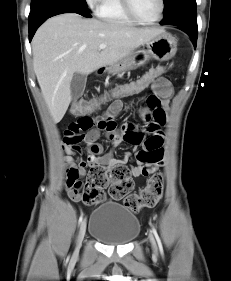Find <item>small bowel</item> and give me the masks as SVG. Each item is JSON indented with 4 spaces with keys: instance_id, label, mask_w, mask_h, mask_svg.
Returning <instances> with one entry per match:
<instances>
[{
    "instance_id": "obj_1",
    "label": "small bowel",
    "mask_w": 231,
    "mask_h": 281,
    "mask_svg": "<svg viewBox=\"0 0 231 281\" xmlns=\"http://www.w3.org/2000/svg\"><path fill=\"white\" fill-rule=\"evenodd\" d=\"M153 93L148 96V108L143 111V131L149 134L144 138L142 132L133 125L126 124L120 130L117 129L115 117L122 110L119 100L113 101L102 116L92 117L87 114L71 122L64 132L63 147L66 155L65 162V187L68 196L74 201H80L73 193V186L81 177L86 175L88 168L101 166L113 168L125 165L129 161L130 153H125L121 158H115L112 152L103 154V147L97 143L100 131L103 130L106 137L114 147L126 142L136 150V164L130 169L133 177L149 176L156 172L164 159V127L168 120V109L172 98V89L169 81L158 78L152 83ZM82 133V134H81ZM83 142L87 151V158L76 157L81 151L79 146Z\"/></svg>"
}]
</instances>
